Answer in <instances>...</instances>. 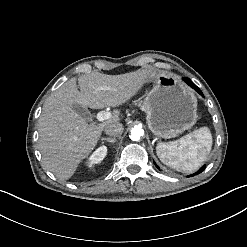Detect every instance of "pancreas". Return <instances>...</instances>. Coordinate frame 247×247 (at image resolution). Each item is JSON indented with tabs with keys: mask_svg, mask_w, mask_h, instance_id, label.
<instances>
[{
	"mask_svg": "<svg viewBox=\"0 0 247 247\" xmlns=\"http://www.w3.org/2000/svg\"><path fill=\"white\" fill-rule=\"evenodd\" d=\"M130 107H140V108H144V103L142 102V100H135L130 104Z\"/></svg>",
	"mask_w": 247,
	"mask_h": 247,
	"instance_id": "cf45deb5",
	"label": "pancreas"
}]
</instances>
